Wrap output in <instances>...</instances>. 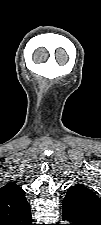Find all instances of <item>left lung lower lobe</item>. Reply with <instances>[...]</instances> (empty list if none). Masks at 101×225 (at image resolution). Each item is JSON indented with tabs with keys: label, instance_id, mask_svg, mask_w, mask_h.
<instances>
[{
	"label": "left lung lower lobe",
	"instance_id": "obj_1",
	"mask_svg": "<svg viewBox=\"0 0 101 225\" xmlns=\"http://www.w3.org/2000/svg\"><path fill=\"white\" fill-rule=\"evenodd\" d=\"M63 220H67L70 222L67 225H101V221L86 217V216H79L71 213H67L63 211L62 215Z\"/></svg>",
	"mask_w": 101,
	"mask_h": 225
}]
</instances>
